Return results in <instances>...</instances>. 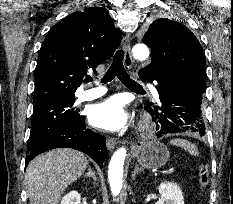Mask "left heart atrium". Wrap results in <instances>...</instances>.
Masks as SVG:
<instances>
[{
	"mask_svg": "<svg viewBox=\"0 0 233 204\" xmlns=\"http://www.w3.org/2000/svg\"><path fill=\"white\" fill-rule=\"evenodd\" d=\"M88 119L91 125L106 131L123 129L128 122V113L124 101L118 97H110L91 107Z\"/></svg>",
	"mask_w": 233,
	"mask_h": 204,
	"instance_id": "39dd6f15",
	"label": "left heart atrium"
}]
</instances>
